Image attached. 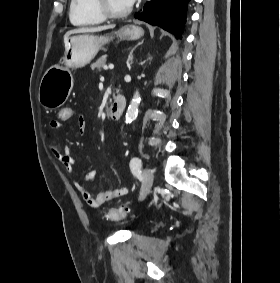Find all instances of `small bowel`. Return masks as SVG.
Wrapping results in <instances>:
<instances>
[{
    "instance_id": "c3829d8e",
    "label": "small bowel",
    "mask_w": 280,
    "mask_h": 283,
    "mask_svg": "<svg viewBox=\"0 0 280 283\" xmlns=\"http://www.w3.org/2000/svg\"><path fill=\"white\" fill-rule=\"evenodd\" d=\"M74 116V112L72 117ZM77 123L80 131H84L86 129V119L83 115H77ZM50 127L54 130H57L61 127V122L59 119L52 120L50 122ZM52 153L54 157L62 164L64 169L69 174H74L76 159L73 156L72 150L69 147L59 148L57 146L52 147ZM96 176L95 171H89L85 173L81 178H75L74 184L76 188L81 193L86 204L91 208H99L105 202L111 201L115 198L122 197L128 194V189L125 187L114 188L99 192L98 194H94L91 191L87 190L83 185L82 181L91 182L94 180Z\"/></svg>"
}]
</instances>
